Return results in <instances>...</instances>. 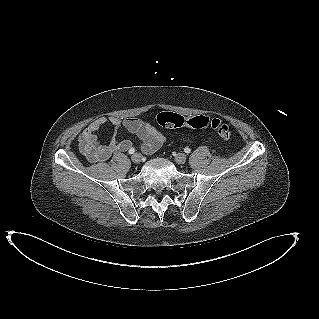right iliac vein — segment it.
<instances>
[{
    "mask_svg": "<svg viewBox=\"0 0 319 319\" xmlns=\"http://www.w3.org/2000/svg\"><path fill=\"white\" fill-rule=\"evenodd\" d=\"M131 160H132V162L138 164L142 160V155L140 153H135L132 155Z\"/></svg>",
    "mask_w": 319,
    "mask_h": 319,
    "instance_id": "obj_1",
    "label": "right iliac vein"
}]
</instances>
